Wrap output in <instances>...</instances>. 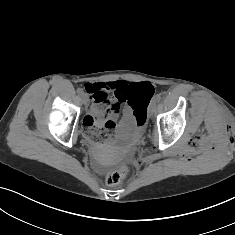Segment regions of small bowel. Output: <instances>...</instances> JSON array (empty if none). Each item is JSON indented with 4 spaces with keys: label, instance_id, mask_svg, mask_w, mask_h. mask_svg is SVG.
Listing matches in <instances>:
<instances>
[{
    "label": "small bowel",
    "instance_id": "c3829d8e",
    "mask_svg": "<svg viewBox=\"0 0 235 235\" xmlns=\"http://www.w3.org/2000/svg\"><path fill=\"white\" fill-rule=\"evenodd\" d=\"M136 83H128L126 81H114V82H97L87 84V90L93 95V102L89 107V115L86 117L85 125L87 128L95 135L99 133H108L109 137L112 135L114 130L117 128V121L121 108V93L130 85ZM113 93L114 95L108 97L107 94ZM104 95L107 103H110V106L106 109L109 115L108 122L101 126L100 130L96 127L88 126L87 118L96 115L97 113L104 110V106L101 105V101H98L97 95ZM124 121L131 122V109L126 107L124 109Z\"/></svg>",
    "mask_w": 235,
    "mask_h": 235
}]
</instances>
